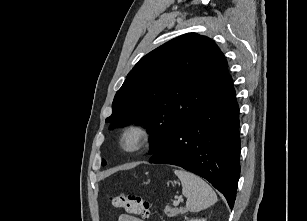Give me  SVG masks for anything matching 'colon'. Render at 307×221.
<instances>
[{
    "mask_svg": "<svg viewBox=\"0 0 307 221\" xmlns=\"http://www.w3.org/2000/svg\"><path fill=\"white\" fill-rule=\"evenodd\" d=\"M109 199L114 207L122 209L130 215L150 216L149 202L139 196L118 194L110 196Z\"/></svg>",
    "mask_w": 307,
    "mask_h": 221,
    "instance_id": "colon-1",
    "label": "colon"
}]
</instances>
